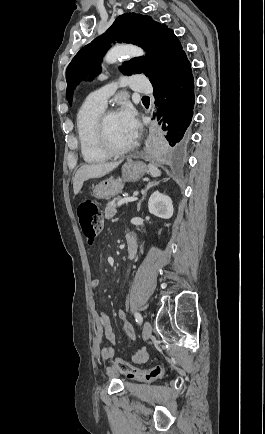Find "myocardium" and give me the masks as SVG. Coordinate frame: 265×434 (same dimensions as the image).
I'll list each match as a JSON object with an SVG mask.
<instances>
[{
    "label": "myocardium",
    "instance_id": "f54148a6",
    "mask_svg": "<svg viewBox=\"0 0 265 434\" xmlns=\"http://www.w3.org/2000/svg\"><path fill=\"white\" fill-rule=\"evenodd\" d=\"M114 114H116V111L109 110V111L103 112V114L101 115V117L99 119L100 142H101V146H102L104 152L109 157H123L125 155L132 153L136 149L138 142L134 141V143L131 146L124 148V149H119V148H116L115 146L112 145L111 140H110L108 121H109V118Z\"/></svg>",
    "mask_w": 265,
    "mask_h": 434
}]
</instances>
